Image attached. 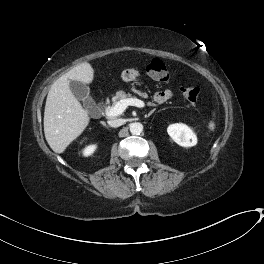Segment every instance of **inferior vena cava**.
<instances>
[{"label":"inferior vena cava","instance_id":"1","mask_svg":"<svg viewBox=\"0 0 264 264\" xmlns=\"http://www.w3.org/2000/svg\"><path fill=\"white\" fill-rule=\"evenodd\" d=\"M108 124L111 127H119L122 124H124V120L123 119H111L108 121Z\"/></svg>","mask_w":264,"mask_h":264}]
</instances>
